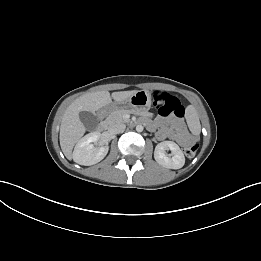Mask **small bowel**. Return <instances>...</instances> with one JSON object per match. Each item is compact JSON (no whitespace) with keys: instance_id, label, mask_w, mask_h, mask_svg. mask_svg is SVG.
Listing matches in <instances>:
<instances>
[{"instance_id":"c3829d8e","label":"small bowel","mask_w":261,"mask_h":261,"mask_svg":"<svg viewBox=\"0 0 261 261\" xmlns=\"http://www.w3.org/2000/svg\"><path fill=\"white\" fill-rule=\"evenodd\" d=\"M147 126L153 129L156 125H160V128L156 132V138L158 140L172 139L181 146L190 145L195 141V137L191 135L183 121L167 118L157 119L156 121L146 120Z\"/></svg>"}]
</instances>
